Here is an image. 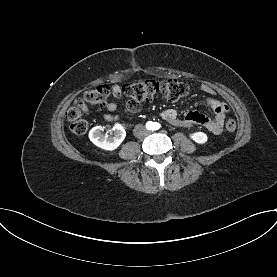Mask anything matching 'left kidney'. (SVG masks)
<instances>
[{
    "label": "left kidney",
    "mask_w": 277,
    "mask_h": 277,
    "mask_svg": "<svg viewBox=\"0 0 277 277\" xmlns=\"http://www.w3.org/2000/svg\"><path fill=\"white\" fill-rule=\"evenodd\" d=\"M190 138L198 144H204L208 140L207 135L203 132L192 133V134H190Z\"/></svg>",
    "instance_id": "1"
}]
</instances>
